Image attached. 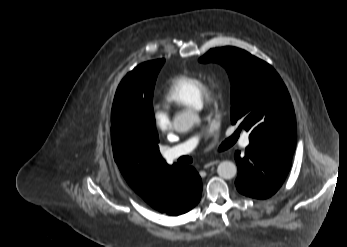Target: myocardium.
I'll return each mask as SVG.
<instances>
[{"mask_svg":"<svg viewBox=\"0 0 347 247\" xmlns=\"http://www.w3.org/2000/svg\"><path fill=\"white\" fill-rule=\"evenodd\" d=\"M220 100V92L211 85L204 83L202 91V104L212 106Z\"/></svg>","mask_w":347,"mask_h":247,"instance_id":"1","label":"myocardium"}]
</instances>
